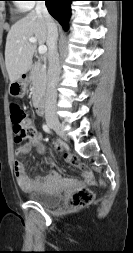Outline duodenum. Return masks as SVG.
Here are the masks:
<instances>
[{
	"label": "duodenum",
	"mask_w": 133,
	"mask_h": 253,
	"mask_svg": "<svg viewBox=\"0 0 133 253\" xmlns=\"http://www.w3.org/2000/svg\"><path fill=\"white\" fill-rule=\"evenodd\" d=\"M20 78H23L24 80H26L27 78H29V73H20ZM37 97L41 98L42 97V86H39V88L36 89ZM35 107H36V111L38 115H43L45 112V102L43 99H37L36 103H35Z\"/></svg>",
	"instance_id": "duodenum-1"
}]
</instances>
